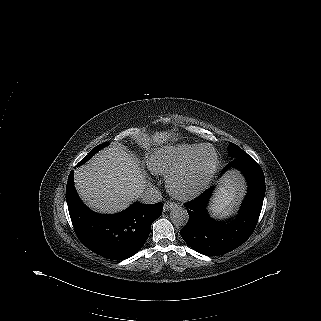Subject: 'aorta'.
I'll list each match as a JSON object with an SVG mask.
<instances>
[{"label":"aorta","instance_id":"762f6f07","mask_svg":"<svg viewBox=\"0 0 321 321\" xmlns=\"http://www.w3.org/2000/svg\"><path fill=\"white\" fill-rule=\"evenodd\" d=\"M170 219L175 226H185L189 220L187 209L181 206L174 207L170 212Z\"/></svg>","mask_w":321,"mask_h":321}]
</instances>
